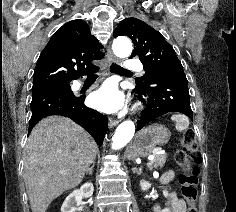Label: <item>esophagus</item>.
I'll use <instances>...</instances> for the list:
<instances>
[{
    "label": "esophagus",
    "mask_w": 236,
    "mask_h": 212,
    "mask_svg": "<svg viewBox=\"0 0 236 212\" xmlns=\"http://www.w3.org/2000/svg\"><path fill=\"white\" fill-rule=\"evenodd\" d=\"M108 58H109V62L110 63H113V62H116V58L115 56L111 53V51H108ZM119 123V121L117 119H113V118H110L109 119V127L112 128L114 127L115 125H117Z\"/></svg>",
    "instance_id": "esophagus-1"
}]
</instances>
